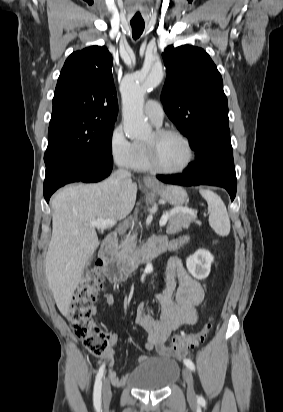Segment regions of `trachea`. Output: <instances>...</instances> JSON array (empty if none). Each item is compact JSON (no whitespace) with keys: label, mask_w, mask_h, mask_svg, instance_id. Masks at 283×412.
Returning a JSON list of instances; mask_svg holds the SVG:
<instances>
[{"label":"trachea","mask_w":283,"mask_h":412,"mask_svg":"<svg viewBox=\"0 0 283 412\" xmlns=\"http://www.w3.org/2000/svg\"><path fill=\"white\" fill-rule=\"evenodd\" d=\"M130 24L132 27V36L136 40L142 34L145 24L142 22H131Z\"/></svg>","instance_id":"1"}]
</instances>
